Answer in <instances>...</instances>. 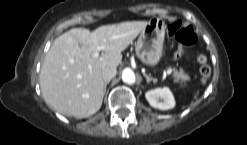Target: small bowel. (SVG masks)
I'll return each mask as SVG.
<instances>
[{
  "label": "small bowel",
  "mask_w": 247,
  "mask_h": 145,
  "mask_svg": "<svg viewBox=\"0 0 247 145\" xmlns=\"http://www.w3.org/2000/svg\"><path fill=\"white\" fill-rule=\"evenodd\" d=\"M183 54H184V50L180 48V49H178V50L176 51L175 56H176L177 58H179V57H181Z\"/></svg>",
  "instance_id": "c3829d8e"
}]
</instances>
